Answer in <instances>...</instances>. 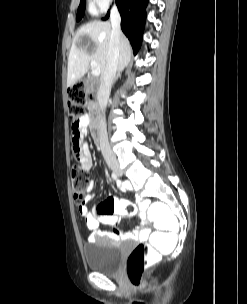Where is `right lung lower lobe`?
I'll list each match as a JSON object with an SVG mask.
<instances>
[{
	"instance_id": "obj_1",
	"label": "right lung lower lobe",
	"mask_w": 247,
	"mask_h": 304,
	"mask_svg": "<svg viewBox=\"0 0 247 304\" xmlns=\"http://www.w3.org/2000/svg\"><path fill=\"white\" fill-rule=\"evenodd\" d=\"M121 15V28L128 37L134 54L141 46L148 0H115ZM110 12L103 18L106 20Z\"/></svg>"
}]
</instances>
